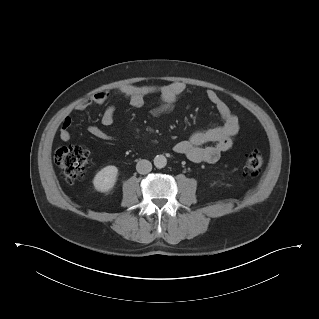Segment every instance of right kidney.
<instances>
[{
	"instance_id": "right-kidney-1",
	"label": "right kidney",
	"mask_w": 319,
	"mask_h": 319,
	"mask_svg": "<svg viewBox=\"0 0 319 319\" xmlns=\"http://www.w3.org/2000/svg\"><path fill=\"white\" fill-rule=\"evenodd\" d=\"M117 174L116 166L109 165L101 169L93 179L95 189L100 192L111 190L115 185Z\"/></svg>"
}]
</instances>
